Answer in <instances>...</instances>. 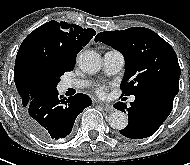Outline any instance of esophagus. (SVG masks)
<instances>
[{"label": "esophagus", "mask_w": 190, "mask_h": 165, "mask_svg": "<svg viewBox=\"0 0 190 165\" xmlns=\"http://www.w3.org/2000/svg\"><path fill=\"white\" fill-rule=\"evenodd\" d=\"M103 108L105 111L107 112H113L114 111V108L112 105L110 104H107V103H103V102H98Z\"/></svg>", "instance_id": "obj_1"}]
</instances>
